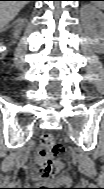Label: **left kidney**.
Returning a JSON list of instances; mask_svg holds the SVG:
<instances>
[{
    "label": "left kidney",
    "mask_w": 104,
    "mask_h": 189,
    "mask_svg": "<svg viewBox=\"0 0 104 189\" xmlns=\"http://www.w3.org/2000/svg\"><path fill=\"white\" fill-rule=\"evenodd\" d=\"M83 14L85 18H97L99 21H103V13L93 7H85Z\"/></svg>",
    "instance_id": "1"
}]
</instances>
